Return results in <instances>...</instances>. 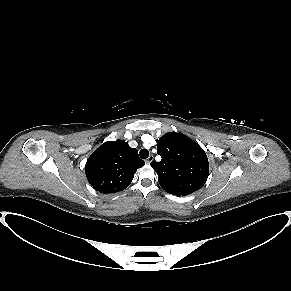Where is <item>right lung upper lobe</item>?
Returning <instances> with one entry per match:
<instances>
[{
  "instance_id": "cb5924a9",
  "label": "right lung upper lobe",
  "mask_w": 291,
  "mask_h": 291,
  "mask_svg": "<svg viewBox=\"0 0 291 291\" xmlns=\"http://www.w3.org/2000/svg\"><path fill=\"white\" fill-rule=\"evenodd\" d=\"M144 164L137 149L124 140L108 141L87 159L85 174L96 191L116 193L130 185L136 170Z\"/></svg>"
}]
</instances>
